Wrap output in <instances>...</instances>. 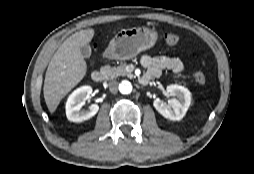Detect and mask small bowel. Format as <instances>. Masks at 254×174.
Here are the masks:
<instances>
[{
	"mask_svg": "<svg viewBox=\"0 0 254 174\" xmlns=\"http://www.w3.org/2000/svg\"><path fill=\"white\" fill-rule=\"evenodd\" d=\"M141 64L146 69L143 77H159L164 69H169L175 73H181L184 70L181 60L166 56L152 57L146 54L141 57Z\"/></svg>",
	"mask_w": 254,
	"mask_h": 174,
	"instance_id": "c3829d8e",
	"label": "small bowel"
}]
</instances>
